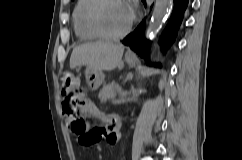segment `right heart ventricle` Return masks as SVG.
<instances>
[{"mask_svg":"<svg viewBox=\"0 0 242 160\" xmlns=\"http://www.w3.org/2000/svg\"><path fill=\"white\" fill-rule=\"evenodd\" d=\"M93 3L94 0H78L74 7L72 13L73 29L80 41H92L100 38L88 23V11Z\"/></svg>","mask_w":242,"mask_h":160,"instance_id":"right-heart-ventricle-1","label":"right heart ventricle"}]
</instances>
